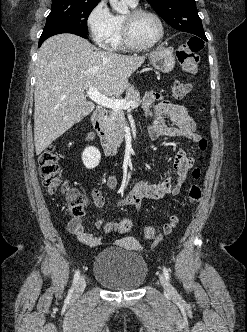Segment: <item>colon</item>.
Listing matches in <instances>:
<instances>
[{"label": "colon", "instance_id": "obj_1", "mask_svg": "<svg viewBox=\"0 0 247 332\" xmlns=\"http://www.w3.org/2000/svg\"><path fill=\"white\" fill-rule=\"evenodd\" d=\"M204 47V42L197 37L189 38L177 51L178 61L182 69L189 74H196L199 63V53ZM191 91V84L184 81H175L172 86V94L176 99H182ZM199 147L202 151L207 148V140L201 138ZM59 157L55 146H49L39 157V173L43 185L51 194L63 193L68 201V212L73 219L81 218L84 211L83 195L77 190L68 189L67 182L62 178L61 169L58 163ZM201 176V170L196 167L192 171L194 182L188 189V200L191 203H197L202 197L201 186L196 182ZM179 218L172 215L169 221L164 224L163 232L171 233L177 226ZM130 219H121L116 222H109L105 225V232L127 233L132 229ZM143 238L147 241H156L161 238L159 231L153 227H147L143 231Z\"/></svg>", "mask_w": 247, "mask_h": 332}]
</instances>
